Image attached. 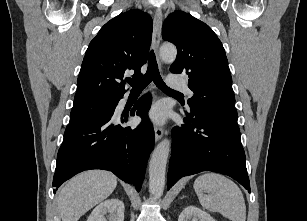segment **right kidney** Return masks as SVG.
I'll use <instances>...</instances> for the list:
<instances>
[{
	"label": "right kidney",
	"instance_id": "right-kidney-1",
	"mask_svg": "<svg viewBox=\"0 0 307 221\" xmlns=\"http://www.w3.org/2000/svg\"><path fill=\"white\" fill-rule=\"evenodd\" d=\"M124 210V203L121 200L111 198L94 208L87 221H107L106 214L109 221H124Z\"/></svg>",
	"mask_w": 307,
	"mask_h": 221
}]
</instances>
